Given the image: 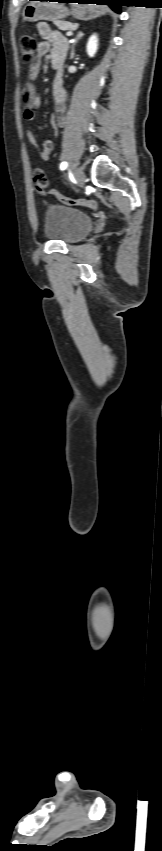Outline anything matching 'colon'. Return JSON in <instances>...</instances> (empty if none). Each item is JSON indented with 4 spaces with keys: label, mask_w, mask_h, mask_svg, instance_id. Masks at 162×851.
Wrapping results in <instances>:
<instances>
[{
    "label": "colon",
    "mask_w": 162,
    "mask_h": 851,
    "mask_svg": "<svg viewBox=\"0 0 162 851\" xmlns=\"http://www.w3.org/2000/svg\"><path fill=\"white\" fill-rule=\"evenodd\" d=\"M37 40L33 33L31 32H23L19 39V48L21 53V58L26 63H33L35 59V52L37 51ZM33 182L37 189V191L43 195H51L55 197L58 201L65 205L69 206H86L90 208H97V203L91 199L79 198L73 199L67 196H64L61 192H59L55 188H49V180L46 173L42 169H36L33 172Z\"/></svg>",
    "instance_id": "5ec220e1"
}]
</instances>
